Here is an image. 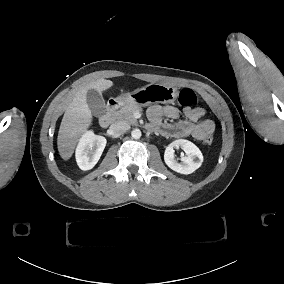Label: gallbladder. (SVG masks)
I'll return each mask as SVG.
<instances>
[{"instance_id":"gallbladder-1","label":"gallbladder","mask_w":284,"mask_h":284,"mask_svg":"<svg viewBox=\"0 0 284 284\" xmlns=\"http://www.w3.org/2000/svg\"><path fill=\"white\" fill-rule=\"evenodd\" d=\"M88 105L95 117L100 118L106 114L105 101L94 90H90L88 93Z\"/></svg>"}]
</instances>
